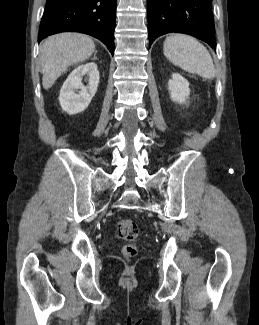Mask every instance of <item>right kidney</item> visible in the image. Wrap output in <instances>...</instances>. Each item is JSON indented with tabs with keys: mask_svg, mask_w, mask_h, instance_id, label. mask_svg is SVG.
I'll return each instance as SVG.
<instances>
[{
	"mask_svg": "<svg viewBox=\"0 0 259 325\" xmlns=\"http://www.w3.org/2000/svg\"><path fill=\"white\" fill-rule=\"evenodd\" d=\"M85 75L88 77L87 86L82 83ZM98 83L99 71L96 63L89 62L75 68L60 91L59 102L62 110L70 115L84 111L96 94Z\"/></svg>",
	"mask_w": 259,
	"mask_h": 325,
	"instance_id": "right-kidney-1",
	"label": "right kidney"
}]
</instances>
